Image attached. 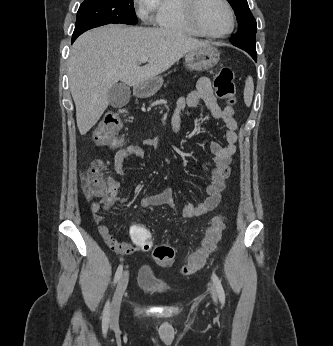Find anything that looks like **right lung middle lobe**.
<instances>
[{"mask_svg":"<svg viewBox=\"0 0 333 346\" xmlns=\"http://www.w3.org/2000/svg\"><path fill=\"white\" fill-rule=\"evenodd\" d=\"M110 23L137 24L133 0H84L77 12L72 38Z\"/></svg>","mask_w":333,"mask_h":346,"instance_id":"right-lung-middle-lobe-1","label":"right lung middle lobe"}]
</instances>
